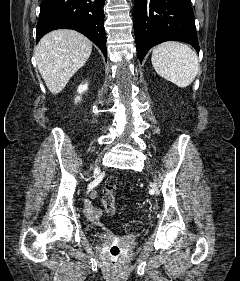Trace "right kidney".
Masks as SVG:
<instances>
[{"mask_svg":"<svg viewBox=\"0 0 240 281\" xmlns=\"http://www.w3.org/2000/svg\"><path fill=\"white\" fill-rule=\"evenodd\" d=\"M87 89H88V84H81V85L78 86L77 92H78L79 94H82V93H84L85 91H87ZM80 100H81V97H80V96H78V97L75 98V102H76V103H77L78 101H80Z\"/></svg>","mask_w":240,"mask_h":281,"instance_id":"obj_1","label":"right kidney"}]
</instances>
